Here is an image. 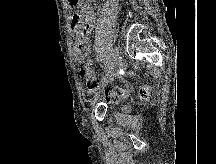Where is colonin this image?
I'll list each match as a JSON object with an SVG mask.
<instances>
[{
	"label": "colon",
	"mask_w": 216,
	"mask_h": 164,
	"mask_svg": "<svg viewBox=\"0 0 216 164\" xmlns=\"http://www.w3.org/2000/svg\"><path fill=\"white\" fill-rule=\"evenodd\" d=\"M81 76L86 80L89 91H94L98 87V81L95 71L90 67H83L81 69ZM150 88L142 87L140 89V96L144 99L149 97ZM128 95V91L120 87H108L104 90V97L108 102H117Z\"/></svg>",
	"instance_id": "colon-1"
}]
</instances>
